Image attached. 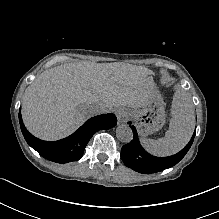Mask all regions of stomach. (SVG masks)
Listing matches in <instances>:
<instances>
[{
	"mask_svg": "<svg viewBox=\"0 0 219 219\" xmlns=\"http://www.w3.org/2000/svg\"><path fill=\"white\" fill-rule=\"evenodd\" d=\"M129 114L143 137L160 130L165 124V103L155 84L149 99L139 108L131 109Z\"/></svg>",
	"mask_w": 219,
	"mask_h": 219,
	"instance_id": "0dacf381",
	"label": "stomach"
}]
</instances>
